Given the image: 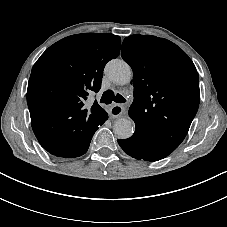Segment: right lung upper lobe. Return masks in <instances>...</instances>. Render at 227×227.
I'll return each mask as SVG.
<instances>
[{
  "label": "right lung upper lobe",
  "instance_id": "right-lung-upper-lobe-1",
  "mask_svg": "<svg viewBox=\"0 0 227 227\" xmlns=\"http://www.w3.org/2000/svg\"><path fill=\"white\" fill-rule=\"evenodd\" d=\"M120 44L110 33L76 34L50 46L34 64L27 103L33 131L46 150L78 153L108 119L97 101L91 109L83 102L101 88L104 67L119 55Z\"/></svg>",
  "mask_w": 227,
  "mask_h": 227
}]
</instances>
